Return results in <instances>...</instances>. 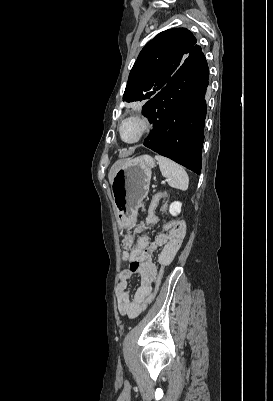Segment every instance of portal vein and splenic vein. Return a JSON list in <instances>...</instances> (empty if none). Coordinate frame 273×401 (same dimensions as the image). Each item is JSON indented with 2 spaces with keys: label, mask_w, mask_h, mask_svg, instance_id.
I'll use <instances>...</instances> for the list:
<instances>
[{
  "label": "portal vein and splenic vein",
  "mask_w": 273,
  "mask_h": 401,
  "mask_svg": "<svg viewBox=\"0 0 273 401\" xmlns=\"http://www.w3.org/2000/svg\"><path fill=\"white\" fill-rule=\"evenodd\" d=\"M166 180H169V178H166ZM163 182H165V180H163Z\"/></svg>",
  "instance_id": "18ae733b"
}]
</instances>
